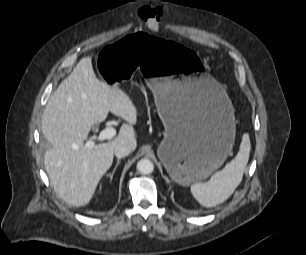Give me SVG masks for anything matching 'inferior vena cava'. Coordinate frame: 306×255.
<instances>
[{"label":"inferior vena cava","mask_w":306,"mask_h":255,"mask_svg":"<svg viewBox=\"0 0 306 255\" xmlns=\"http://www.w3.org/2000/svg\"><path fill=\"white\" fill-rule=\"evenodd\" d=\"M133 151V148L128 143H120L114 148L115 156L120 159L128 156Z\"/></svg>","instance_id":"602c4592"}]
</instances>
